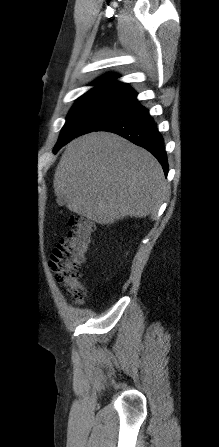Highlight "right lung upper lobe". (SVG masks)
Instances as JSON below:
<instances>
[{
  "instance_id": "obj_1",
  "label": "right lung upper lobe",
  "mask_w": 219,
  "mask_h": 447,
  "mask_svg": "<svg viewBox=\"0 0 219 447\" xmlns=\"http://www.w3.org/2000/svg\"><path fill=\"white\" fill-rule=\"evenodd\" d=\"M117 78L116 75L110 74L106 75L98 80L94 81L92 85H97L95 88H108L113 89L119 92H122L126 95L132 96L136 98L137 94L133 91L128 84L114 81Z\"/></svg>"
}]
</instances>
